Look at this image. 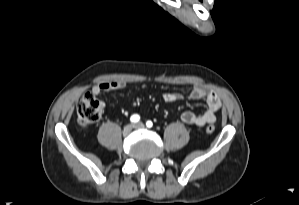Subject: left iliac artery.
<instances>
[{
    "mask_svg": "<svg viewBox=\"0 0 299 205\" xmlns=\"http://www.w3.org/2000/svg\"><path fill=\"white\" fill-rule=\"evenodd\" d=\"M146 126H147L148 128H151V127L153 126L152 121H147V122H146Z\"/></svg>",
    "mask_w": 299,
    "mask_h": 205,
    "instance_id": "1",
    "label": "left iliac artery"
}]
</instances>
